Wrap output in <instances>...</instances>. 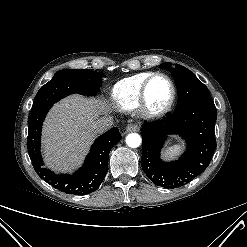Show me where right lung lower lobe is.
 I'll use <instances>...</instances> for the list:
<instances>
[{"label": "right lung lower lobe", "instance_id": "98d812e1", "mask_svg": "<svg viewBox=\"0 0 247 247\" xmlns=\"http://www.w3.org/2000/svg\"><path fill=\"white\" fill-rule=\"evenodd\" d=\"M52 106V105H51ZM51 106L31 112L28 126L27 148L37 174L53 187L68 194L85 195L95 191L108 171V157L112 147L121 139L114 127L101 135L93 145L83 167L72 175H57L43 167L40 153L41 128Z\"/></svg>", "mask_w": 247, "mask_h": 247}]
</instances>
